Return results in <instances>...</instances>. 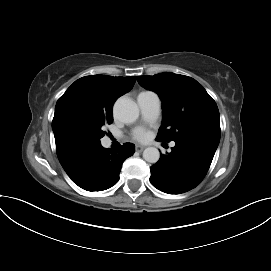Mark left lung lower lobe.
Listing matches in <instances>:
<instances>
[{
    "mask_svg": "<svg viewBox=\"0 0 271 271\" xmlns=\"http://www.w3.org/2000/svg\"><path fill=\"white\" fill-rule=\"evenodd\" d=\"M175 143L172 152L161 154L159 161L150 168L151 184L168 194L195 188L205 177L218 147L217 143L190 137Z\"/></svg>",
    "mask_w": 271,
    "mask_h": 271,
    "instance_id": "left-lung-lower-lobe-1",
    "label": "left lung lower lobe"
}]
</instances>
